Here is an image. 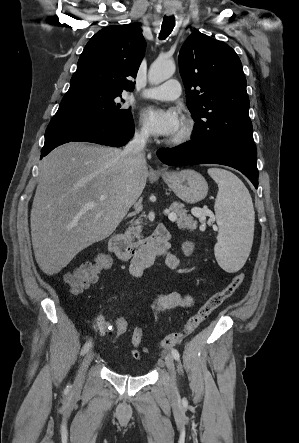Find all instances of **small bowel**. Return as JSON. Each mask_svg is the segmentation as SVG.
I'll list each match as a JSON object with an SVG mask.
<instances>
[{"label":"small bowel","mask_w":299,"mask_h":443,"mask_svg":"<svg viewBox=\"0 0 299 443\" xmlns=\"http://www.w3.org/2000/svg\"><path fill=\"white\" fill-rule=\"evenodd\" d=\"M193 249L194 246L192 243H186L184 245L185 255H190L193 252ZM162 258L169 269H177L180 265V258L169 251L162 255ZM143 272L144 268L131 264L130 273L134 278L140 279L143 276ZM193 302V296L189 294L183 295L178 292L162 293L157 294L154 297L153 308L155 313L159 314L171 309L189 308L193 305ZM97 327L101 336H104L107 333H112L111 324L103 316L97 317ZM130 352L135 359L139 360L141 359L142 354L147 353L148 350L143 343L139 348L131 347Z\"/></svg>","instance_id":"1"}]
</instances>
